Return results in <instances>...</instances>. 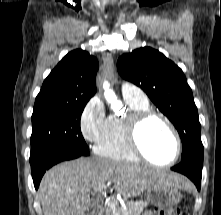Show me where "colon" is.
<instances>
[{
	"mask_svg": "<svg viewBox=\"0 0 221 215\" xmlns=\"http://www.w3.org/2000/svg\"><path fill=\"white\" fill-rule=\"evenodd\" d=\"M156 215H186L179 208L158 209Z\"/></svg>",
	"mask_w": 221,
	"mask_h": 215,
	"instance_id": "5ec220e1",
	"label": "colon"
}]
</instances>
